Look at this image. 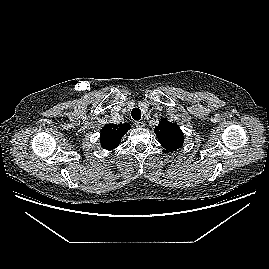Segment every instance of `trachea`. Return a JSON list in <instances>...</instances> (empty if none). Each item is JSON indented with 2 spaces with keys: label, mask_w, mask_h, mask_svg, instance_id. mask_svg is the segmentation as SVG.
Instances as JSON below:
<instances>
[{
  "label": "trachea",
  "mask_w": 269,
  "mask_h": 269,
  "mask_svg": "<svg viewBox=\"0 0 269 269\" xmlns=\"http://www.w3.org/2000/svg\"><path fill=\"white\" fill-rule=\"evenodd\" d=\"M132 118L134 120H140L141 119V110L139 108H134L131 112Z\"/></svg>",
  "instance_id": "1"
}]
</instances>
